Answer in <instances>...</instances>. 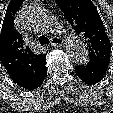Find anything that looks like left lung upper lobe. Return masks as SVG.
Segmentation results:
<instances>
[{
  "instance_id": "obj_1",
  "label": "left lung upper lobe",
  "mask_w": 113,
  "mask_h": 113,
  "mask_svg": "<svg viewBox=\"0 0 113 113\" xmlns=\"http://www.w3.org/2000/svg\"><path fill=\"white\" fill-rule=\"evenodd\" d=\"M77 34L88 43L90 61L108 67L111 44L91 0H55Z\"/></svg>"
}]
</instances>
